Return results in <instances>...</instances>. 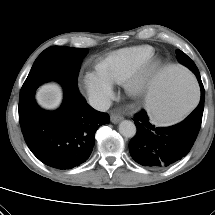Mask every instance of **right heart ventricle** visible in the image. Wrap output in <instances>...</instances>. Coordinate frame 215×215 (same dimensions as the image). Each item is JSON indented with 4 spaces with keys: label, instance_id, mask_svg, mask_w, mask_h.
<instances>
[{
    "label": "right heart ventricle",
    "instance_id": "right-heart-ventricle-1",
    "mask_svg": "<svg viewBox=\"0 0 215 215\" xmlns=\"http://www.w3.org/2000/svg\"><path fill=\"white\" fill-rule=\"evenodd\" d=\"M154 49L147 45L121 48L99 59L96 71L111 83L122 84L136 68L149 61Z\"/></svg>",
    "mask_w": 215,
    "mask_h": 215
}]
</instances>
